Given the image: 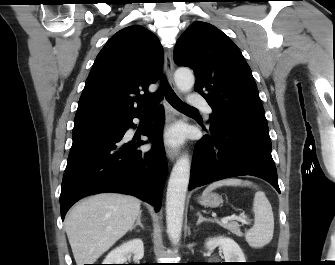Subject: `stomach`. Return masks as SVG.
Returning a JSON list of instances; mask_svg holds the SVG:
<instances>
[{
    "label": "stomach",
    "instance_id": "1",
    "mask_svg": "<svg viewBox=\"0 0 335 265\" xmlns=\"http://www.w3.org/2000/svg\"><path fill=\"white\" fill-rule=\"evenodd\" d=\"M201 205L217 207L222 203V198L216 193H208L199 199Z\"/></svg>",
    "mask_w": 335,
    "mask_h": 265
}]
</instances>
